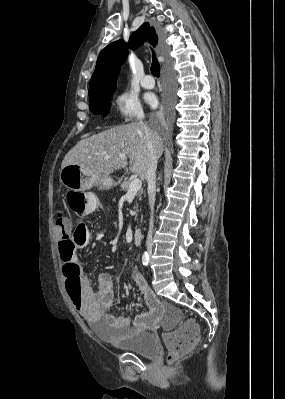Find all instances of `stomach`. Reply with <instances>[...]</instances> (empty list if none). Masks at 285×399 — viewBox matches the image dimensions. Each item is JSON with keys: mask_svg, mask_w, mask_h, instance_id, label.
I'll return each mask as SVG.
<instances>
[{"mask_svg": "<svg viewBox=\"0 0 285 399\" xmlns=\"http://www.w3.org/2000/svg\"><path fill=\"white\" fill-rule=\"evenodd\" d=\"M60 181L73 191H87L94 186L101 189H110L116 185L110 176L94 177L78 165H67L61 169Z\"/></svg>", "mask_w": 285, "mask_h": 399, "instance_id": "1", "label": "stomach"}]
</instances>
